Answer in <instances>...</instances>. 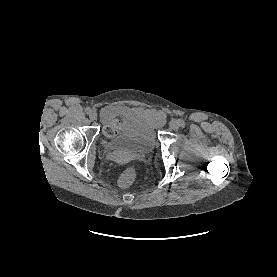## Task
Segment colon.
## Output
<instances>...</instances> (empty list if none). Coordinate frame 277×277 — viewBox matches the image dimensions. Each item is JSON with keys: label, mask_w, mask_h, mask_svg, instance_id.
I'll use <instances>...</instances> for the list:
<instances>
[{"label": "colon", "mask_w": 277, "mask_h": 277, "mask_svg": "<svg viewBox=\"0 0 277 277\" xmlns=\"http://www.w3.org/2000/svg\"><path fill=\"white\" fill-rule=\"evenodd\" d=\"M116 132H117V125L116 124L108 125L104 129V134L106 136L113 135ZM135 177H136V172H135L134 168L129 167V168L125 169L124 172L120 175V177L118 178L117 183L120 187L126 188V187H129L133 184V182L135 180Z\"/></svg>", "instance_id": "colon-1"}]
</instances>
